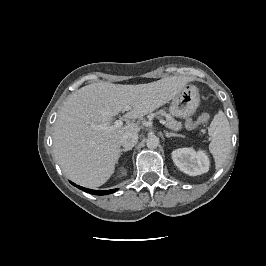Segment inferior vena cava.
Listing matches in <instances>:
<instances>
[{
  "mask_svg": "<svg viewBox=\"0 0 266 266\" xmlns=\"http://www.w3.org/2000/svg\"><path fill=\"white\" fill-rule=\"evenodd\" d=\"M138 142V133L127 132L121 138V145L124 149H132Z\"/></svg>",
  "mask_w": 266,
  "mask_h": 266,
  "instance_id": "obj_1",
  "label": "inferior vena cava"
}]
</instances>
